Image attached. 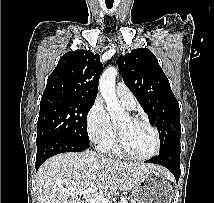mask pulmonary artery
<instances>
[{"mask_svg": "<svg viewBox=\"0 0 214 203\" xmlns=\"http://www.w3.org/2000/svg\"><path fill=\"white\" fill-rule=\"evenodd\" d=\"M116 94L120 102L124 106H126L129 109L134 107L135 105L134 96L124 83L120 82L116 85Z\"/></svg>", "mask_w": 214, "mask_h": 203, "instance_id": "e3ab8cb5", "label": "pulmonary artery"}]
</instances>
